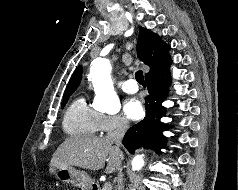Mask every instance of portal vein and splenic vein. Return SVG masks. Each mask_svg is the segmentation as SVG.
Segmentation results:
<instances>
[{"instance_id":"18ae733b","label":"portal vein and splenic vein","mask_w":238,"mask_h":190,"mask_svg":"<svg viewBox=\"0 0 238 190\" xmlns=\"http://www.w3.org/2000/svg\"><path fill=\"white\" fill-rule=\"evenodd\" d=\"M105 186H106V187H111V183H108V182H107V183H105Z\"/></svg>"}]
</instances>
